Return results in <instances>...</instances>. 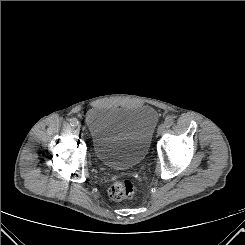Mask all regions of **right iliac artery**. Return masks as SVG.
I'll return each instance as SVG.
<instances>
[{
	"label": "right iliac artery",
	"mask_w": 245,
	"mask_h": 245,
	"mask_svg": "<svg viewBox=\"0 0 245 245\" xmlns=\"http://www.w3.org/2000/svg\"><path fill=\"white\" fill-rule=\"evenodd\" d=\"M69 122H70V125H71L72 127H76V126L79 124V122H78V120H77L76 118H71V119L69 120Z\"/></svg>",
	"instance_id": "obj_1"
}]
</instances>
